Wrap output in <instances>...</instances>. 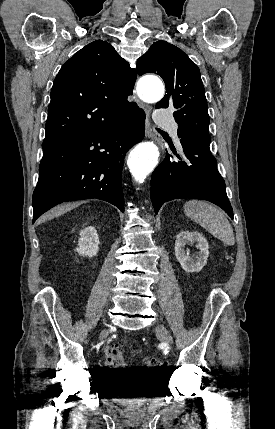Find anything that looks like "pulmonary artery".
Listing matches in <instances>:
<instances>
[{"instance_id":"pulmonary-artery-1","label":"pulmonary artery","mask_w":275,"mask_h":429,"mask_svg":"<svg viewBox=\"0 0 275 429\" xmlns=\"http://www.w3.org/2000/svg\"><path fill=\"white\" fill-rule=\"evenodd\" d=\"M154 120L157 124L163 127H167L172 133L175 140L179 143L177 136V125L171 116L166 113H163L162 111H157L154 116Z\"/></svg>"}]
</instances>
